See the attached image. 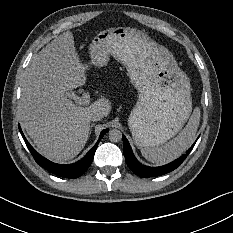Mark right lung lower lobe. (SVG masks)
Returning <instances> with one entry per match:
<instances>
[{"label": "right lung lower lobe", "mask_w": 233, "mask_h": 233, "mask_svg": "<svg viewBox=\"0 0 233 233\" xmlns=\"http://www.w3.org/2000/svg\"><path fill=\"white\" fill-rule=\"evenodd\" d=\"M19 130H20L31 154L33 155L35 161L41 167L45 168L49 172H51L57 176L64 177V178H77V177L81 176L89 168V166L92 163L94 153H95V150L97 148L99 141L108 132V129H105L101 132L98 142L96 143V145L94 147H92L89 150V152L85 155V157L83 159H81L80 161L73 163V164L61 165V164H56V163H53V162L47 160L46 158L41 156L38 152H36L33 149V147L26 140L20 126H19Z\"/></svg>", "instance_id": "obj_1"}]
</instances>
